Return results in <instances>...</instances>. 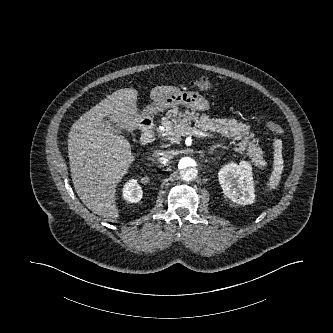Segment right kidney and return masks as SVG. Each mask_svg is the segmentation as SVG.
<instances>
[{
	"mask_svg": "<svg viewBox=\"0 0 333 333\" xmlns=\"http://www.w3.org/2000/svg\"><path fill=\"white\" fill-rule=\"evenodd\" d=\"M143 196V191L137 180H130L123 188V198L129 203H138Z\"/></svg>",
	"mask_w": 333,
	"mask_h": 333,
	"instance_id": "obj_1",
	"label": "right kidney"
}]
</instances>
